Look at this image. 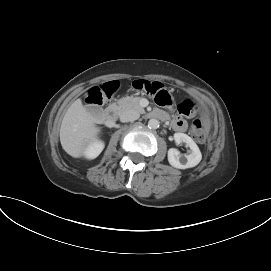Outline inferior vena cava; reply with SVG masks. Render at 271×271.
<instances>
[{
	"mask_svg": "<svg viewBox=\"0 0 271 271\" xmlns=\"http://www.w3.org/2000/svg\"><path fill=\"white\" fill-rule=\"evenodd\" d=\"M140 114L135 110H126L120 114L121 122L135 121L139 118Z\"/></svg>",
	"mask_w": 271,
	"mask_h": 271,
	"instance_id": "inferior-vena-cava-1",
	"label": "inferior vena cava"
}]
</instances>
